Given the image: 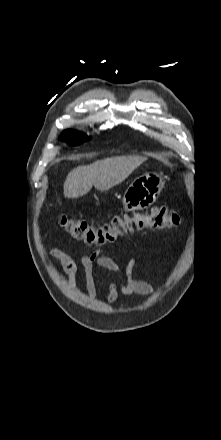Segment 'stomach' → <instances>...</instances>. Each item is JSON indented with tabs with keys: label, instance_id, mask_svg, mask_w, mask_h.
Instances as JSON below:
<instances>
[{
	"label": "stomach",
	"instance_id": "0dacf381",
	"mask_svg": "<svg viewBox=\"0 0 221 440\" xmlns=\"http://www.w3.org/2000/svg\"><path fill=\"white\" fill-rule=\"evenodd\" d=\"M165 187L160 174L150 172L133 180L123 196V207L127 211L142 210L152 205Z\"/></svg>",
	"mask_w": 221,
	"mask_h": 440
}]
</instances>
